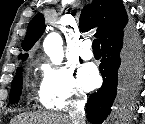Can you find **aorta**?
Returning a JSON list of instances; mask_svg holds the SVG:
<instances>
[{
  "label": "aorta",
  "mask_w": 145,
  "mask_h": 124,
  "mask_svg": "<svg viewBox=\"0 0 145 124\" xmlns=\"http://www.w3.org/2000/svg\"><path fill=\"white\" fill-rule=\"evenodd\" d=\"M43 48L54 65L62 63L64 58L63 40L58 33H49L44 39Z\"/></svg>",
  "instance_id": "762f6f07"
}]
</instances>
